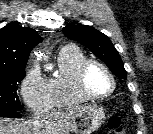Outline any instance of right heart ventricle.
I'll use <instances>...</instances> for the list:
<instances>
[{
    "mask_svg": "<svg viewBox=\"0 0 153 134\" xmlns=\"http://www.w3.org/2000/svg\"><path fill=\"white\" fill-rule=\"evenodd\" d=\"M85 59L83 52L74 46H67L59 51V73L47 80L49 110L73 107L86 101L77 93L74 84L75 71Z\"/></svg>",
    "mask_w": 153,
    "mask_h": 134,
    "instance_id": "e07e8e85",
    "label": "right heart ventricle"
}]
</instances>
